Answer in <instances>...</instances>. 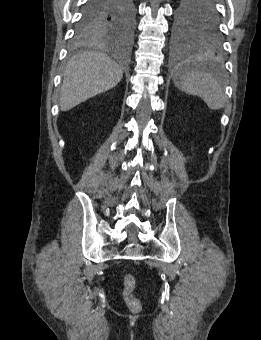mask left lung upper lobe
<instances>
[{
  "mask_svg": "<svg viewBox=\"0 0 261 340\" xmlns=\"http://www.w3.org/2000/svg\"><path fill=\"white\" fill-rule=\"evenodd\" d=\"M206 0H180L172 28L174 47L195 50L211 58L224 54L223 37L215 5Z\"/></svg>",
  "mask_w": 261,
  "mask_h": 340,
  "instance_id": "obj_1",
  "label": "left lung upper lobe"
}]
</instances>
